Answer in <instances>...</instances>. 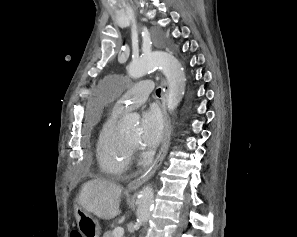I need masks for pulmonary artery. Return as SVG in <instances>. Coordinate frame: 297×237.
Instances as JSON below:
<instances>
[{
  "mask_svg": "<svg viewBox=\"0 0 297 237\" xmlns=\"http://www.w3.org/2000/svg\"><path fill=\"white\" fill-rule=\"evenodd\" d=\"M153 89L154 85L150 79H144L138 82L126 90L122 102L116 105L115 110L121 112L125 108L142 105Z\"/></svg>",
  "mask_w": 297,
  "mask_h": 237,
  "instance_id": "e3ab8cb5",
  "label": "pulmonary artery"
}]
</instances>
